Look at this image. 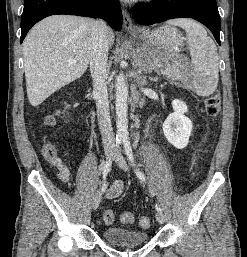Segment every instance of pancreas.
<instances>
[{
  "mask_svg": "<svg viewBox=\"0 0 247 257\" xmlns=\"http://www.w3.org/2000/svg\"><path fill=\"white\" fill-rule=\"evenodd\" d=\"M160 71L162 74L169 76L175 71V69L173 67L167 66V67H162Z\"/></svg>",
  "mask_w": 247,
  "mask_h": 257,
  "instance_id": "obj_1",
  "label": "pancreas"
}]
</instances>
